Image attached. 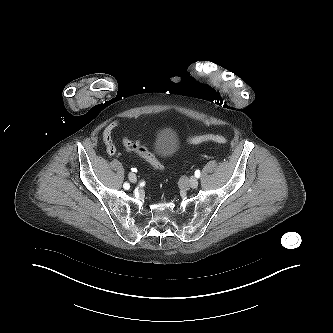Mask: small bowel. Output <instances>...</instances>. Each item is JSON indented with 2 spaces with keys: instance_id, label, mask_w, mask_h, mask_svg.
Here are the masks:
<instances>
[{
  "instance_id": "1",
  "label": "small bowel",
  "mask_w": 333,
  "mask_h": 333,
  "mask_svg": "<svg viewBox=\"0 0 333 333\" xmlns=\"http://www.w3.org/2000/svg\"><path fill=\"white\" fill-rule=\"evenodd\" d=\"M119 123V120H113L105 127L103 131V141L106 147V152L110 156H113L116 153V147L112 141V134L119 126Z\"/></svg>"
}]
</instances>
